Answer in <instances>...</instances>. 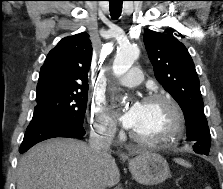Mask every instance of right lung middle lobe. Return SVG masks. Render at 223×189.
Masks as SVG:
<instances>
[{
  "instance_id": "1",
  "label": "right lung middle lobe",
  "mask_w": 223,
  "mask_h": 189,
  "mask_svg": "<svg viewBox=\"0 0 223 189\" xmlns=\"http://www.w3.org/2000/svg\"><path fill=\"white\" fill-rule=\"evenodd\" d=\"M87 96L88 88L37 92L34 113L58 116L83 125Z\"/></svg>"
}]
</instances>
